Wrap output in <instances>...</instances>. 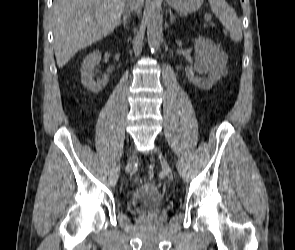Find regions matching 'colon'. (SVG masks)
I'll list each match as a JSON object with an SVG mask.
<instances>
[{"label": "colon", "instance_id": "1", "mask_svg": "<svg viewBox=\"0 0 295 250\" xmlns=\"http://www.w3.org/2000/svg\"><path fill=\"white\" fill-rule=\"evenodd\" d=\"M155 175V168L153 166L148 169V176L152 178Z\"/></svg>", "mask_w": 295, "mask_h": 250}]
</instances>
